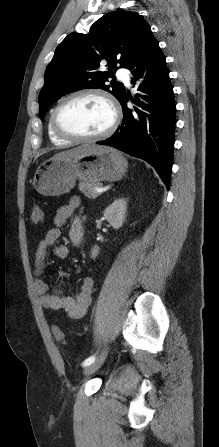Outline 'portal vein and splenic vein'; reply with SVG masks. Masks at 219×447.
Segmentation results:
<instances>
[{
	"mask_svg": "<svg viewBox=\"0 0 219 447\" xmlns=\"http://www.w3.org/2000/svg\"><path fill=\"white\" fill-rule=\"evenodd\" d=\"M94 190H95L97 193H102V192H104L106 189H105L104 187H96V188H94Z\"/></svg>",
	"mask_w": 219,
	"mask_h": 447,
	"instance_id": "1",
	"label": "portal vein and splenic vein"
}]
</instances>
